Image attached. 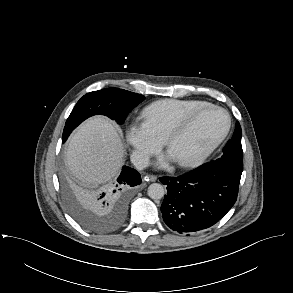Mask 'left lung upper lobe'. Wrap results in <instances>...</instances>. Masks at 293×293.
I'll return each mask as SVG.
<instances>
[{
    "label": "left lung upper lobe",
    "instance_id": "1",
    "mask_svg": "<svg viewBox=\"0 0 293 293\" xmlns=\"http://www.w3.org/2000/svg\"><path fill=\"white\" fill-rule=\"evenodd\" d=\"M242 131L239 122L236 123V128L232 138L223 148L222 157L214 160L218 164H224L236 172L243 171V150L241 145Z\"/></svg>",
    "mask_w": 293,
    "mask_h": 293
}]
</instances>
